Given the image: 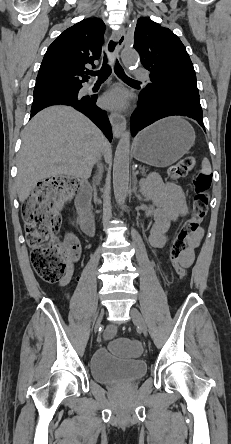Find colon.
<instances>
[{
	"label": "colon",
	"instance_id": "obj_1",
	"mask_svg": "<svg viewBox=\"0 0 231 444\" xmlns=\"http://www.w3.org/2000/svg\"><path fill=\"white\" fill-rule=\"evenodd\" d=\"M195 167V158L185 156L173 164L168 175L173 180L186 177ZM194 197L191 216L183 222L169 249V260L178 277L186 276L187 267L182 256L189 240L198 231L209 204V176L198 172L194 176ZM80 182L70 177H51L38 184L27 200L24 211V224L27 243L33 268L38 276L47 283H57L68 272L76 257L56 238L61 225L60 209ZM114 351L122 349L136 353L140 350L138 342L124 338L111 343Z\"/></svg>",
	"mask_w": 231,
	"mask_h": 444
}]
</instances>
